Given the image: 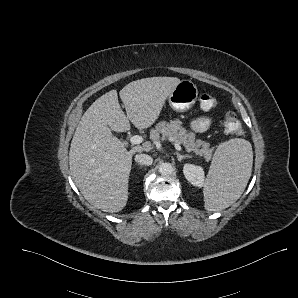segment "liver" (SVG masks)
I'll return each instance as SVG.
<instances>
[{"label": "liver", "instance_id": "6515ba94", "mask_svg": "<svg viewBox=\"0 0 298 298\" xmlns=\"http://www.w3.org/2000/svg\"><path fill=\"white\" fill-rule=\"evenodd\" d=\"M180 81L168 76L132 81L119 92L126 114L117 90L100 96L83 114L71 141L69 166L77 188L95 208L114 213L126 206L132 157L144 150L138 145L127 151L112 131L127 132L130 122L139 130L151 127Z\"/></svg>", "mask_w": 298, "mask_h": 298}]
</instances>
